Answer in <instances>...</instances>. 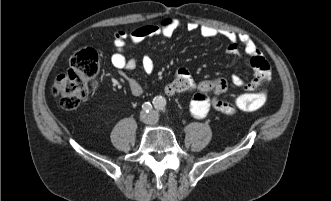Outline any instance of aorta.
<instances>
[{
	"instance_id": "762f6f07",
	"label": "aorta",
	"mask_w": 331,
	"mask_h": 201,
	"mask_svg": "<svg viewBox=\"0 0 331 201\" xmlns=\"http://www.w3.org/2000/svg\"><path fill=\"white\" fill-rule=\"evenodd\" d=\"M154 105L156 108H163L165 103L164 100L162 98H156L154 101Z\"/></svg>"
}]
</instances>
